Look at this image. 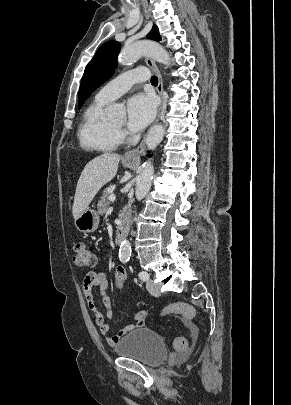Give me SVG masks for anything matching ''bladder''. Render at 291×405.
Segmentation results:
<instances>
[{
    "mask_svg": "<svg viewBox=\"0 0 291 405\" xmlns=\"http://www.w3.org/2000/svg\"><path fill=\"white\" fill-rule=\"evenodd\" d=\"M115 352L151 367L160 365L168 356L163 337L147 327L137 328L125 335L115 345Z\"/></svg>",
    "mask_w": 291,
    "mask_h": 405,
    "instance_id": "31cf9c89",
    "label": "bladder"
}]
</instances>
